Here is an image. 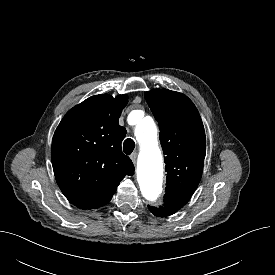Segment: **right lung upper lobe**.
<instances>
[{
    "instance_id": "obj_1",
    "label": "right lung upper lobe",
    "mask_w": 275,
    "mask_h": 275,
    "mask_svg": "<svg viewBox=\"0 0 275 275\" xmlns=\"http://www.w3.org/2000/svg\"><path fill=\"white\" fill-rule=\"evenodd\" d=\"M127 97L91 96L69 110L52 140L56 181L65 197L80 209L107 204L120 181L134 174L122 153L126 129L118 124Z\"/></svg>"
}]
</instances>
